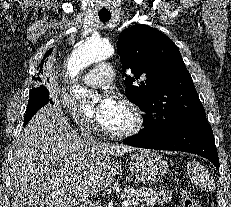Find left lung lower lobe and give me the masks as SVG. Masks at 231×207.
<instances>
[{"mask_svg":"<svg viewBox=\"0 0 231 207\" xmlns=\"http://www.w3.org/2000/svg\"><path fill=\"white\" fill-rule=\"evenodd\" d=\"M123 142L140 148L198 154L211 161L219 170L214 135L206 119L189 122L164 136L154 137L140 132Z\"/></svg>","mask_w":231,"mask_h":207,"instance_id":"0a47b994","label":"left lung lower lobe"}]
</instances>
